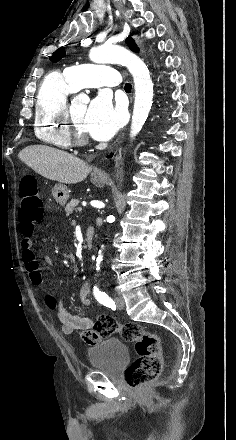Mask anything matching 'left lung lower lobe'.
I'll use <instances>...</instances> for the list:
<instances>
[{
	"label": "left lung lower lobe",
	"instance_id": "obj_1",
	"mask_svg": "<svg viewBox=\"0 0 236 440\" xmlns=\"http://www.w3.org/2000/svg\"><path fill=\"white\" fill-rule=\"evenodd\" d=\"M108 157H112V154H111V155H109Z\"/></svg>",
	"mask_w": 236,
	"mask_h": 440
}]
</instances>
